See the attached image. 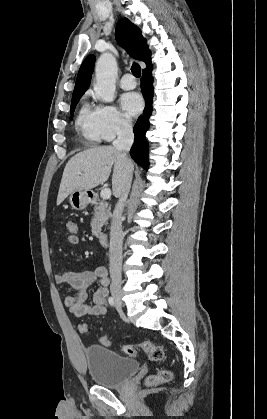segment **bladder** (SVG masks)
<instances>
[{
	"label": "bladder",
	"mask_w": 267,
	"mask_h": 419,
	"mask_svg": "<svg viewBox=\"0 0 267 419\" xmlns=\"http://www.w3.org/2000/svg\"><path fill=\"white\" fill-rule=\"evenodd\" d=\"M84 356L92 381L103 387H118L139 369V363L135 359L123 357L101 345L86 347Z\"/></svg>",
	"instance_id": "obj_1"
}]
</instances>
